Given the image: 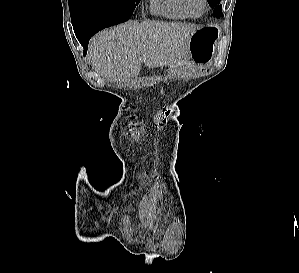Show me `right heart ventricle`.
Returning a JSON list of instances; mask_svg holds the SVG:
<instances>
[{
  "label": "right heart ventricle",
  "mask_w": 299,
  "mask_h": 273,
  "mask_svg": "<svg viewBox=\"0 0 299 273\" xmlns=\"http://www.w3.org/2000/svg\"><path fill=\"white\" fill-rule=\"evenodd\" d=\"M150 9L152 13L169 19L181 20L190 17L181 0H150Z\"/></svg>",
  "instance_id": "e07e8e85"
}]
</instances>
